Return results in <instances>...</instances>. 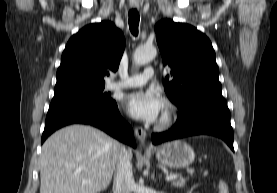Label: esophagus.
<instances>
[{
  "mask_svg": "<svg viewBox=\"0 0 277 193\" xmlns=\"http://www.w3.org/2000/svg\"><path fill=\"white\" fill-rule=\"evenodd\" d=\"M130 7L133 9H137L139 7V4L133 2L130 3ZM135 135L140 143L144 145L147 137L146 131L142 127H137L135 128Z\"/></svg>",
  "mask_w": 277,
  "mask_h": 193,
  "instance_id": "esophagus-1",
  "label": "esophagus"
}]
</instances>
